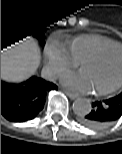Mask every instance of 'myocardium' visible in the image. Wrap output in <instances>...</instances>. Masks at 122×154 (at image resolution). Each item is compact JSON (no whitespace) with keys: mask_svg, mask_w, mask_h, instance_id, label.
<instances>
[{"mask_svg":"<svg viewBox=\"0 0 122 154\" xmlns=\"http://www.w3.org/2000/svg\"><path fill=\"white\" fill-rule=\"evenodd\" d=\"M114 49H122V45H118V44H115V45H111L109 47H106L104 49H101L95 53H92L90 55H87L85 56L84 58H82L79 62V66L81 67L82 69V66L86 63V62H89V61H93V60H96L98 58H100L102 55H104L105 53L111 51V50H114ZM120 87H122V76L119 78L118 81H116L114 84L108 86V87H105V88H102V89H99V90H94L92 91L93 94L95 95H106V94H110L116 90H118Z\"/></svg>","mask_w":122,"mask_h":154,"instance_id":"f54148a6","label":"myocardium"}]
</instances>
